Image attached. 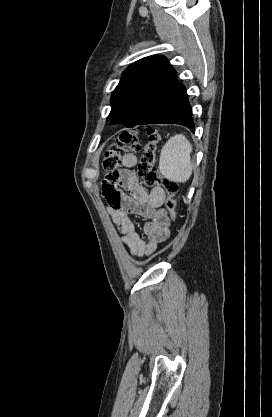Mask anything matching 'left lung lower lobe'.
<instances>
[{"mask_svg":"<svg viewBox=\"0 0 272 417\" xmlns=\"http://www.w3.org/2000/svg\"><path fill=\"white\" fill-rule=\"evenodd\" d=\"M155 123L181 124L194 131L195 124L192 118V109L186 89L182 84L177 83L155 111L143 120L141 125Z\"/></svg>","mask_w":272,"mask_h":417,"instance_id":"1","label":"left lung lower lobe"}]
</instances>
